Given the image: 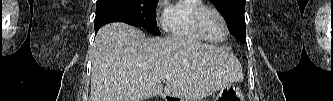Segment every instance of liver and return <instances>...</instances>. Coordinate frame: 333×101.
I'll use <instances>...</instances> for the list:
<instances>
[{"label":"liver","mask_w":333,"mask_h":101,"mask_svg":"<svg viewBox=\"0 0 333 101\" xmlns=\"http://www.w3.org/2000/svg\"><path fill=\"white\" fill-rule=\"evenodd\" d=\"M91 62L89 101H143L156 95L197 101L243 77L240 62L223 47L180 37L147 38L125 23L99 30Z\"/></svg>","instance_id":"obj_1"}]
</instances>
